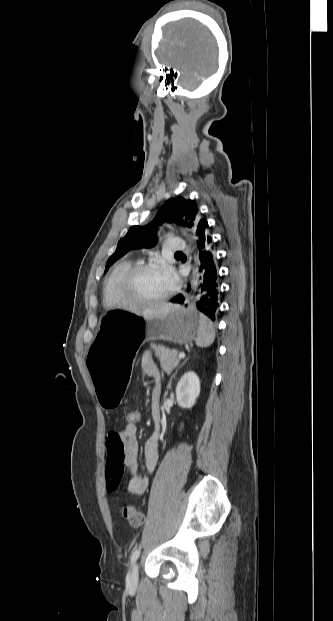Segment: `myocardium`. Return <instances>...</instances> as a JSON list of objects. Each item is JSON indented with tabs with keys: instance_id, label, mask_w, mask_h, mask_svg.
<instances>
[{
	"instance_id": "obj_1",
	"label": "myocardium",
	"mask_w": 333,
	"mask_h": 621,
	"mask_svg": "<svg viewBox=\"0 0 333 621\" xmlns=\"http://www.w3.org/2000/svg\"><path fill=\"white\" fill-rule=\"evenodd\" d=\"M145 271H163L165 272V268L162 264L149 262V263H140L131 266L125 273L121 276L118 281V294L123 304L126 305H144V306H153L159 305L167 300L174 293V285L172 284L169 291L162 297L152 300L141 299L130 293L129 287L133 280V278L141 272Z\"/></svg>"
}]
</instances>
